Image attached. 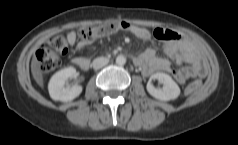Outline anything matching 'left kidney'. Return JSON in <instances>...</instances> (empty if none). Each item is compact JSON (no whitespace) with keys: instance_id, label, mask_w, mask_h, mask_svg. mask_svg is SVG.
I'll list each match as a JSON object with an SVG mask.
<instances>
[{"instance_id":"5707ae66","label":"left kidney","mask_w":238,"mask_h":145,"mask_svg":"<svg viewBox=\"0 0 238 145\" xmlns=\"http://www.w3.org/2000/svg\"><path fill=\"white\" fill-rule=\"evenodd\" d=\"M155 79L160 83H163V88H155L152 85L151 82ZM146 88L151 96L162 101L176 99L180 94V88L177 83L171 78V76L165 73H155L151 75Z\"/></svg>"}]
</instances>
